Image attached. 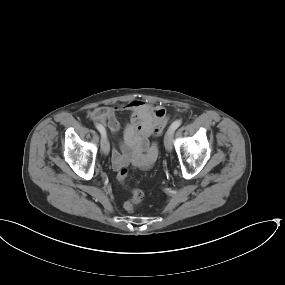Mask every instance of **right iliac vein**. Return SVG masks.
<instances>
[{
  "label": "right iliac vein",
  "instance_id": "obj_1",
  "mask_svg": "<svg viewBox=\"0 0 285 285\" xmlns=\"http://www.w3.org/2000/svg\"><path fill=\"white\" fill-rule=\"evenodd\" d=\"M101 149L103 154L107 155L109 153L110 145L106 134H103L101 137Z\"/></svg>",
  "mask_w": 285,
  "mask_h": 285
}]
</instances>
